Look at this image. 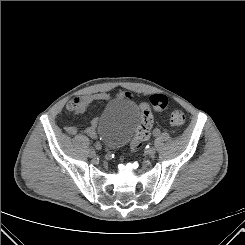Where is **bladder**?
Segmentation results:
<instances>
[{"mask_svg": "<svg viewBox=\"0 0 245 245\" xmlns=\"http://www.w3.org/2000/svg\"><path fill=\"white\" fill-rule=\"evenodd\" d=\"M140 120L137 105L129 99L109 102L98 118L97 130L102 141L117 149L130 140Z\"/></svg>", "mask_w": 245, "mask_h": 245, "instance_id": "obj_1", "label": "bladder"}]
</instances>
